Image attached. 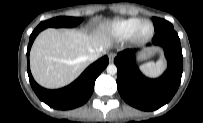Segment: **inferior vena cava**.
<instances>
[{
    "mask_svg": "<svg viewBox=\"0 0 203 123\" xmlns=\"http://www.w3.org/2000/svg\"><path fill=\"white\" fill-rule=\"evenodd\" d=\"M99 57V54L98 53H91L89 54L86 59L89 61V62H93L95 60H97Z\"/></svg>",
    "mask_w": 203,
    "mask_h": 123,
    "instance_id": "inferior-vena-cava-1",
    "label": "inferior vena cava"
}]
</instances>
